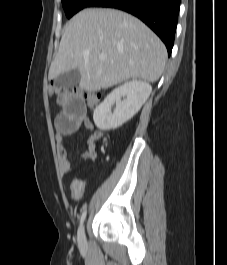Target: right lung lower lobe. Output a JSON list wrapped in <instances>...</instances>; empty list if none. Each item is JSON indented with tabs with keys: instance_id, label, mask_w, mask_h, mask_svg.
I'll return each instance as SVG.
<instances>
[{
	"instance_id": "obj_1",
	"label": "right lung lower lobe",
	"mask_w": 227,
	"mask_h": 265,
	"mask_svg": "<svg viewBox=\"0 0 227 265\" xmlns=\"http://www.w3.org/2000/svg\"><path fill=\"white\" fill-rule=\"evenodd\" d=\"M88 7H111L133 14L160 37L170 56L180 0H93Z\"/></svg>"
}]
</instances>
